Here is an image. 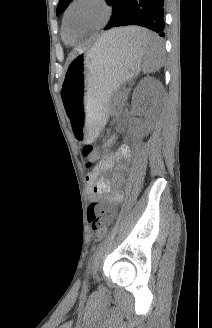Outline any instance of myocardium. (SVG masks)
Segmentation results:
<instances>
[{
    "label": "myocardium",
    "instance_id": "obj_1",
    "mask_svg": "<svg viewBox=\"0 0 212 328\" xmlns=\"http://www.w3.org/2000/svg\"><path fill=\"white\" fill-rule=\"evenodd\" d=\"M82 2H93V3H96V4H98L99 6H101L103 8L104 13H105V16H104L103 21L99 25L86 30L85 31L86 33L94 32L96 30L101 29L107 23V21L109 20V18L111 17L112 7H111L110 3L107 0H71V2L69 3V5L65 9L64 15H63V28L66 31L69 30V14H70V11L76 5H78V4L82 3Z\"/></svg>",
    "mask_w": 212,
    "mask_h": 328
}]
</instances>
